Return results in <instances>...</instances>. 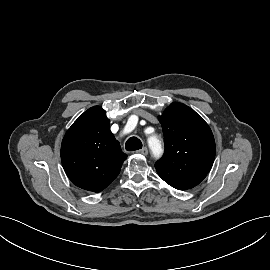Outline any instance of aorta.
I'll list each match as a JSON object with an SVG mask.
<instances>
[{
	"instance_id": "762f6f07",
	"label": "aorta",
	"mask_w": 270,
	"mask_h": 270,
	"mask_svg": "<svg viewBox=\"0 0 270 270\" xmlns=\"http://www.w3.org/2000/svg\"><path fill=\"white\" fill-rule=\"evenodd\" d=\"M149 145L153 150V152L155 153V155H159L161 153L162 151L161 144L156 137H151L149 139Z\"/></svg>"
}]
</instances>
